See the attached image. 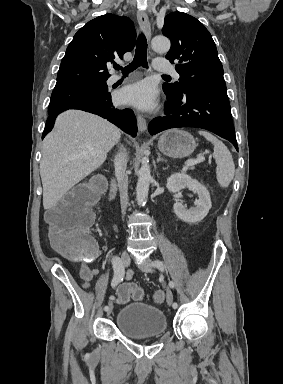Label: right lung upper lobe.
Masks as SVG:
<instances>
[{"label": "right lung upper lobe", "instance_id": "1", "mask_svg": "<svg viewBox=\"0 0 283 384\" xmlns=\"http://www.w3.org/2000/svg\"><path fill=\"white\" fill-rule=\"evenodd\" d=\"M134 42L135 29L126 17L105 14L89 21L68 45L55 88L106 81L107 65L131 51Z\"/></svg>", "mask_w": 283, "mask_h": 384}]
</instances>
